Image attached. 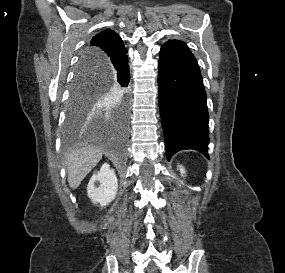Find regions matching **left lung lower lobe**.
<instances>
[{
	"label": "left lung lower lobe",
	"instance_id": "left-lung-lower-lobe-1",
	"mask_svg": "<svg viewBox=\"0 0 285 273\" xmlns=\"http://www.w3.org/2000/svg\"><path fill=\"white\" fill-rule=\"evenodd\" d=\"M159 109L167 159L194 149L208 155L207 98L196 58L182 41L169 40L160 50Z\"/></svg>",
	"mask_w": 285,
	"mask_h": 273
}]
</instances>
